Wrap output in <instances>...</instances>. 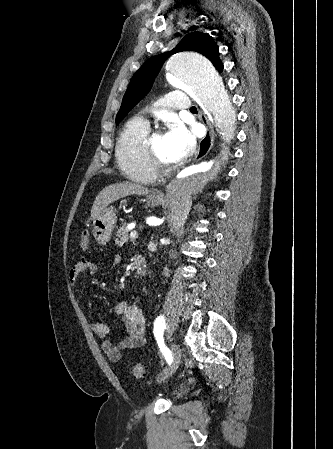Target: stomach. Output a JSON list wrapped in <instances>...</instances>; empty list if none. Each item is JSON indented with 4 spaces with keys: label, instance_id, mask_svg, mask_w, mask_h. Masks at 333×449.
<instances>
[{
    "label": "stomach",
    "instance_id": "stomach-1",
    "mask_svg": "<svg viewBox=\"0 0 333 449\" xmlns=\"http://www.w3.org/2000/svg\"><path fill=\"white\" fill-rule=\"evenodd\" d=\"M146 201L148 206L155 207L160 204L161 199L148 196ZM116 221L117 217L112 206L102 210V212L93 219V236L100 245L109 242L112 232L116 227Z\"/></svg>",
    "mask_w": 333,
    "mask_h": 449
}]
</instances>
